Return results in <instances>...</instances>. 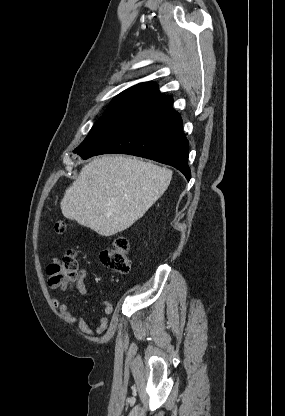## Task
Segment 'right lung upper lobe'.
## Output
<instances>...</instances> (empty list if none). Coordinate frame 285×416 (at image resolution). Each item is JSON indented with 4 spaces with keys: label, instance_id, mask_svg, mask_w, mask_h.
<instances>
[{
    "label": "right lung upper lobe",
    "instance_id": "1",
    "mask_svg": "<svg viewBox=\"0 0 285 416\" xmlns=\"http://www.w3.org/2000/svg\"><path fill=\"white\" fill-rule=\"evenodd\" d=\"M131 95L140 99L158 104L162 109L171 108L173 99L171 96L162 95L157 88V85L152 82L140 83L129 89L123 91L117 96Z\"/></svg>",
    "mask_w": 285,
    "mask_h": 416
}]
</instances>
